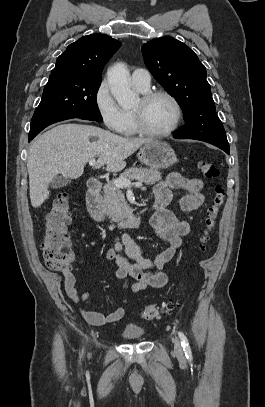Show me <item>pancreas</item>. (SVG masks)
<instances>
[{"mask_svg": "<svg viewBox=\"0 0 265 407\" xmlns=\"http://www.w3.org/2000/svg\"><path fill=\"white\" fill-rule=\"evenodd\" d=\"M119 178L137 179L148 185H153L161 180V173L155 169L131 167L120 174ZM101 207L103 212L114 221H120L126 216L129 205L125 200L122 190L114 185V181L108 182L103 187Z\"/></svg>", "mask_w": 265, "mask_h": 407, "instance_id": "obj_1", "label": "pancreas"}]
</instances>
